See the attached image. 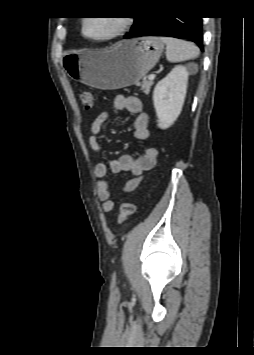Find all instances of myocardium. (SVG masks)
I'll return each mask as SVG.
<instances>
[{
  "label": "myocardium",
  "mask_w": 254,
  "mask_h": 355,
  "mask_svg": "<svg viewBox=\"0 0 254 355\" xmlns=\"http://www.w3.org/2000/svg\"><path fill=\"white\" fill-rule=\"evenodd\" d=\"M116 18L119 20V27L118 29L113 32L112 34L106 36V37H102V38H94V37H90L89 35H87L86 31H85V27H86V23L89 19V17H86L81 25V32L82 35L93 42H107L113 39H116L117 37L123 35L132 25V18L130 16H116Z\"/></svg>",
  "instance_id": "myocardium-1"
}]
</instances>
